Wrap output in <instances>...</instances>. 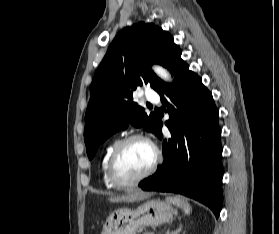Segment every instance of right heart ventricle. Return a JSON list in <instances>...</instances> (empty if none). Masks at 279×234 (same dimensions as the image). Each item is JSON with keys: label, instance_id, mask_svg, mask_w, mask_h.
<instances>
[{"label": "right heart ventricle", "instance_id": "e07e8e85", "mask_svg": "<svg viewBox=\"0 0 279 234\" xmlns=\"http://www.w3.org/2000/svg\"><path fill=\"white\" fill-rule=\"evenodd\" d=\"M116 145V143H113L111 145H109L103 156H102V159H101V172H102V178H103V182L105 184L106 187L108 188H114L115 186L110 182V180L108 179V175H107V164H108V159H109V156L114 148V146Z\"/></svg>", "mask_w": 279, "mask_h": 234}]
</instances>
